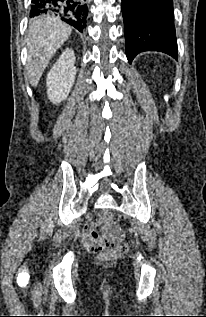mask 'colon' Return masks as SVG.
<instances>
[{
	"instance_id": "1",
	"label": "colon",
	"mask_w": 206,
	"mask_h": 317,
	"mask_svg": "<svg viewBox=\"0 0 206 317\" xmlns=\"http://www.w3.org/2000/svg\"><path fill=\"white\" fill-rule=\"evenodd\" d=\"M105 222H111L113 215L109 211L102 212L98 217ZM89 251L95 253L102 260H111L124 255L128 246L124 242H115L109 234L99 235L95 231L86 244Z\"/></svg>"
}]
</instances>
